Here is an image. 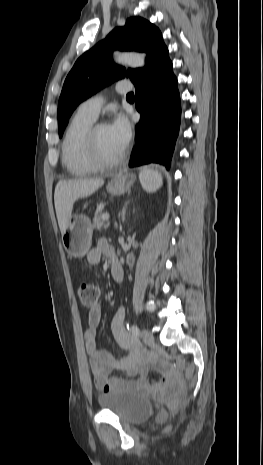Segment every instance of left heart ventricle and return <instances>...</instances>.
I'll return each instance as SVG.
<instances>
[{"mask_svg":"<svg viewBox=\"0 0 263 465\" xmlns=\"http://www.w3.org/2000/svg\"><path fill=\"white\" fill-rule=\"evenodd\" d=\"M97 144L101 156L107 160L118 157L124 150L113 137L108 125L99 128L97 132Z\"/></svg>","mask_w":263,"mask_h":465,"instance_id":"obj_1","label":"left heart ventricle"}]
</instances>
